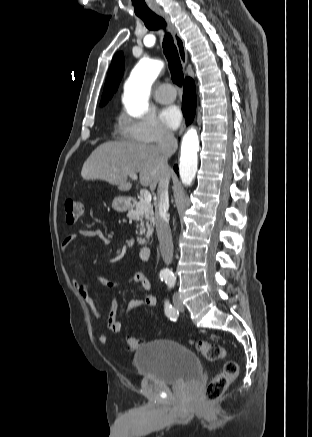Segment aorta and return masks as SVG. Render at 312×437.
<instances>
[{
    "instance_id": "aorta-1",
    "label": "aorta",
    "mask_w": 312,
    "mask_h": 437,
    "mask_svg": "<svg viewBox=\"0 0 312 437\" xmlns=\"http://www.w3.org/2000/svg\"><path fill=\"white\" fill-rule=\"evenodd\" d=\"M162 68L163 62L148 58L141 59L135 66L125 85L124 93V104L130 116L141 117L148 109L151 86ZM198 150L199 137L197 131L191 128L184 135L181 143L179 173L185 186H190L195 178Z\"/></svg>"
}]
</instances>
